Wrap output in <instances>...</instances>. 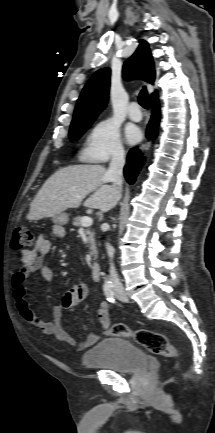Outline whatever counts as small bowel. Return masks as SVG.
Masks as SVG:
<instances>
[{
    "label": "small bowel",
    "mask_w": 215,
    "mask_h": 433,
    "mask_svg": "<svg viewBox=\"0 0 215 433\" xmlns=\"http://www.w3.org/2000/svg\"><path fill=\"white\" fill-rule=\"evenodd\" d=\"M53 234L57 238H62L63 230L61 228L55 229ZM51 247V241L46 236L39 235L33 249L21 251L19 257L20 266L12 277L13 297L16 307L22 318L41 332L52 335L61 342L74 345L79 350H86L98 340L99 335L92 333L85 340L77 342L64 328L62 323L64 313L74 311L86 298V284H76L64 293L61 303L52 309V321L45 320L37 315L30 307L26 298L27 280L31 274L40 272L46 282H51L54 279L52 268L46 265L43 259V256L50 251ZM97 317L102 329L107 330L110 326L109 306L107 302L99 304Z\"/></svg>",
    "instance_id": "1"
}]
</instances>
